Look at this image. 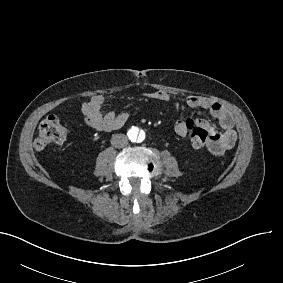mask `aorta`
I'll return each instance as SVG.
<instances>
[{
  "instance_id": "1",
  "label": "aorta",
  "mask_w": 283,
  "mask_h": 283,
  "mask_svg": "<svg viewBox=\"0 0 283 283\" xmlns=\"http://www.w3.org/2000/svg\"><path fill=\"white\" fill-rule=\"evenodd\" d=\"M128 137L131 140V142L141 143L145 140L146 134L144 130L136 126H132L128 131Z\"/></svg>"
}]
</instances>
